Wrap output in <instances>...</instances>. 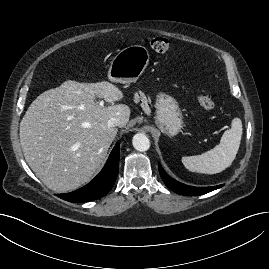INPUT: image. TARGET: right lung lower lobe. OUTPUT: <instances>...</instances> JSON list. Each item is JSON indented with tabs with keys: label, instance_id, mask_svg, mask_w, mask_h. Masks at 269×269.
Segmentation results:
<instances>
[{
	"label": "right lung lower lobe",
	"instance_id": "obj_1",
	"mask_svg": "<svg viewBox=\"0 0 269 269\" xmlns=\"http://www.w3.org/2000/svg\"><path fill=\"white\" fill-rule=\"evenodd\" d=\"M119 153L120 145L116 144L102 171L89 184L57 196L69 202H88L105 196L113 187L118 175Z\"/></svg>",
	"mask_w": 269,
	"mask_h": 269
}]
</instances>
